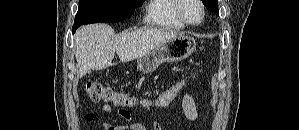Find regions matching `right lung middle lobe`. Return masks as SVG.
Listing matches in <instances>:
<instances>
[{
	"instance_id": "obj_1",
	"label": "right lung middle lobe",
	"mask_w": 299,
	"mask_h": 130,
	"mask_svg": "<svg viewBox=\"0 0 299 130\" xmlns=\"http://www.w3.org/2000/svg\"><path fill=\"white\" fill-rule=\"evenodd\" d=\"M145 0H79V8L74 23H113L122 21L134 13Z\"/></svg>"
}]
</instances>
